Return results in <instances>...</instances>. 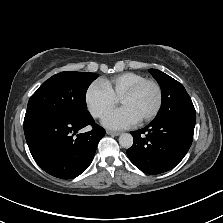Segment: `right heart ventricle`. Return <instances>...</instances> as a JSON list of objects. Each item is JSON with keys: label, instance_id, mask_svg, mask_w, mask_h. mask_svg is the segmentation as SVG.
<instances>
[{"label": "right heart ventricle", "instance_id": "right-heart-ventricle-1", "mask_svg": "<svg viewBox=\"0 0 223 223\" xmlns=\"http://www.w3.org/2000/svg\"><path fill=\"white\" fill-rule=\"evenodd\" d=\"M144 79L145 77L138 73L125 72L104 79L102 82L105 84L112 96L119 98L124 92Z\"/></svg>", "mask_w": 223, "mask_h": 223}]
</instances>
